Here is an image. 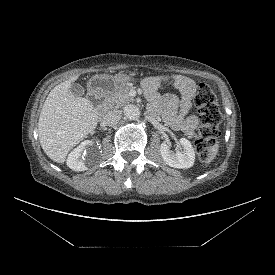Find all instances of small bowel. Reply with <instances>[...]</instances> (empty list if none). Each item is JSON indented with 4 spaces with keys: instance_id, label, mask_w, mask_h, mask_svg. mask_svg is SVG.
Instances as JSON below:
<instances>
[{
    "instance_id": "obj_1",
    "label": "small bowel",
    "mask_w": 275,
    "mask_h": 275,
    "mask_svg": "<svg viewBox=\"0 0 275 275\" xmlns=\"http://www.w3.org/2000/svg\"><path fill=\"white\" fill-rule=\"evenodd\" d=\"M170 83L180 93V97L172 94L159 96L158 89L164 83ZM143 88L152 100V108L163 112L164 120L173 128L181 129L193 135L197 126V119L188 116L191 100L196 88L193 80L184 76L147 78L143 81Z\"/></svg>"
}]
</instances>
